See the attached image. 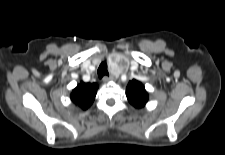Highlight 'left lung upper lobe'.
Masks as SVG:
<instances>
[{
  "mask_svg": "<svg viewBox=\"0 0 225 155\" xmlns=\"http://www.w3.org/2000/svg\"><path fill=\"white\" fill-rule=\"evenodd\" d=\"M126 95L129 102L136 108L144 107L149 98L144 85L135 79L127 85Z\"/></svg>",
  "mask_w": 225,
  "mask_h": 155,
  "instance_id": "obj_1",
  "label": "left lung upper lobe"
}]
</instances>
